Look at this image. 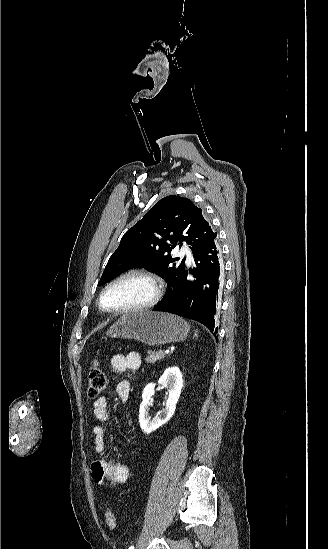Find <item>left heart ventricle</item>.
Wrapping results in <instances>:
<instances>
[{"label": "left heart ventricle", "instance_id": "1", "mask_svg": "<svg viewBox=\"0 0 328 549\" xmlns=\"http://www.w3.org/2000/svg\"><path fill=\"white\" fill-rule=\"evenodd\" d=\"M152 293L153 287L147 279L132 275L109 289L103 303L107 308H124L147 301Z\"/></svg>", "mask_w": 328, "mask_h": 549}]
</instances>
